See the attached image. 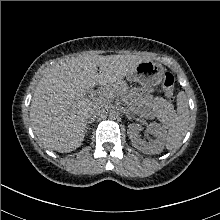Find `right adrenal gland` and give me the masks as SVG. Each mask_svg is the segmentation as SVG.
<instances>
[{
	"instance_id": "right-adrenal-gland-1",
	"label": "right adrenal gland",
	"mask_w": 220,
	"mask_h": 220,
	"mask_svg": "<svg viewBox=\"0 0 220 220\" xmlns=\"http://www.w3.org/2000/svg\"><path fill=\"white\" fill-rule=\"evenodd\" d=\"M95 121V118H92L86 122V129H89V124H92Z\"/></svg>"
}]
</instances>
